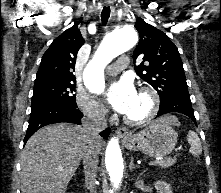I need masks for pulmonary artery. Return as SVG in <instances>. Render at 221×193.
Wrapping results in <instances>:
<instances>
[{
	"mask_svg": "<svg viewBox=\"0 0 221 193\" xmlns=\"http://www.w3.org/2000/svg\"><path fill=\"white\" fill-rule=\"evenodd\" d=\"M128 58L126 56H123L121 58H119V60L117 61V63L109 65L107 67L106 72L109 75H116L117 73L120 72L121 69L125 68L128 65Z\"/></svg>",
	"mask_w": 221,
	"mask_h": 193,
	"instance_id": "e3ab8cb5",
	"label": "pulmonary artery"
}]
</instances>
